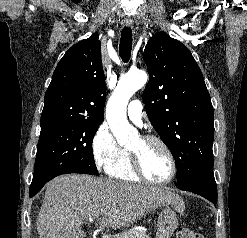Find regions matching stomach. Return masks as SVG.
<instances>
[{
  "mask_svg": "<svg viewBox=\"0 0 247 238\" xmlns=\"http://www.w3.org/2000/svg\"><path fill=\"white\" fill-rule=\"evenodd\" d=\"M178 226V218L169 207L163 209L157 222L156 238H171Z\"/></svg>",
  "mask_w": 247,
  "mask_h": 238,
  "instance_id": "0dacf381",
  "label": "stomach"
}]
</instances>
